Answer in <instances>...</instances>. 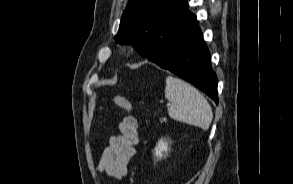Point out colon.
<instances>
[{"label": "colon", "mask_w": 293, "mask_h": 184, "mask_svg": "<svg viewBox=\"0 0 293 184\" xmlns=\"http://www.w3.org/2000/svg\"><path fill=\"white\" fill-rule=\"evenodd\" d=\"M112 100L118 107L126 111L133 110V105L131 104V102L121 95H118V94L113 95Z\"/></svg>", "instance_id": "5ec220e1"}]
</instances>
